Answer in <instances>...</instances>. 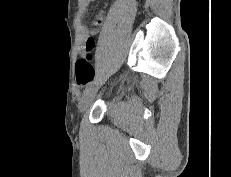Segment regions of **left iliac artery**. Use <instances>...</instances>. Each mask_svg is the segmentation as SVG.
<instances>
[{
	"instance_id": "44dca946",
	"label": "left iliac artery",
	"mask_w": 231,
	"mask_h": 177,
	"mask_svg": "<svg viewBox=\"0 0 231 177\" xmlns=\"http://www.w3.org/2000/svg\"><path fill=\"white\" fill-rule=\"evenodd\" d=\"M96 81H97V79H95L94 81H92L91 83H89V84L86 86L84 92L87 91L90 87H92V85L95 84Z\"/></svg>"
}]
</instances>
